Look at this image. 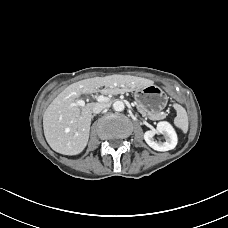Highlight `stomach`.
Listing matches in <instances>:
<instances>
[{
  "label": "stomach",
  "mask_w": 228,
  "mask_h": 228,
  "mask_svg": "<svg viewBox=\"0 0 228 228\" xmlns=\"http://www.w3.org/2000/svg\"><path fill=\"white\" fill-rule=\"evenodd\" d=\"M138 108L144 110V112L156 113L163 110L168 98L164 91L156 85H148L139 88L134 95Z\"/></svg>",
  "instance_id": "1"
}]
</instances>
